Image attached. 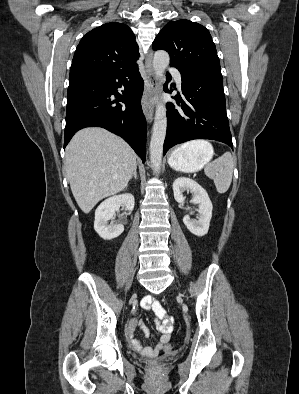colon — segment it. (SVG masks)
Returning a JSON list of instances; mask_svg holds the SVG:
<instances>
[{
  "instance_id": "colon-1",
  "label": "colon",
  "mask_w": 299,
  "mask_h": 394,
  "mask_svg": "<svg viewBox=\"0 0 299 394\" xmlns=\"http://www.w3.org/2000/svg\"><path fill=\"white\" fill-rule=\"evenodd\" d=\"M170 348V346H167V349H169Z\"/></svg>"
}]
</instances>
